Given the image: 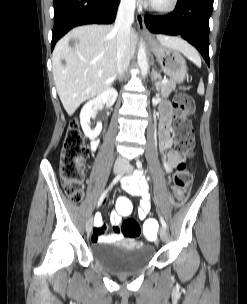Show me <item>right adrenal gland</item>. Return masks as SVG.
Returning <instances> with one entry per match:
<instances>
[{
	"instance_id": "1",
	"label": "right adrenal gland",
	"mask_w": 247,
	"mask_h": 304,
	"mask_svg": "<svg viewBox=\"0 0 247 304\" xmlns=\"http://www.w3.org/2000/svg\"><path fill=\"white\" fill-rule=\"evenodd\" d=\"M117 80H118L119 82H121V81L123 80V76L116 77L114 81H117Z\"/></svg>"
}]
</instances>
